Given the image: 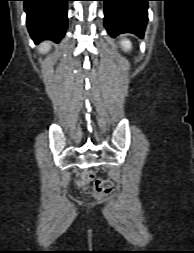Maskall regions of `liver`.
<instances>
[{
	"label": "liver",
	"mask_w": 194,
	"mask_h": 253,
	"mask_svg": "<svg viewBox=\"0 0 194 253\" xmlns=\"http://www.w3.org/2000/svg\"><path fill=\"white\" fill-rule=\"evenodd\" d=\"M38 49L41 53H46L50 49V43L44 42L39 46Z\"/></svg>",
	"instance_id": "obj_1"
}]
</instances>
